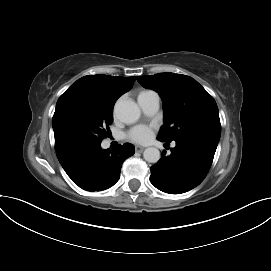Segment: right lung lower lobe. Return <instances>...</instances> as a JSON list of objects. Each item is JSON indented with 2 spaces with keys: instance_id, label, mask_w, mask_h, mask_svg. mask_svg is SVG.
I'll list each match as a JSON object with an SVG mask.
<instances>
[{
  "instance_id": "obj_1",
  "label": "right lung lower lobe",
  "mask_w": 271,
  "mask_h": 271,
  "mask_svg": "<svg viewBox=\"0 0 271 271\" xmlns=\"http://www.w3.org/2000/svg\"><path fill=\"white\" fill-rule=\"evenodd\" d=\"M134 152V146L129 143L114 150H103L97 145L71 152L60 163L80 188L90 192L100 191L118 181L122 163Z\"/></svg>"
}]
</instances>
